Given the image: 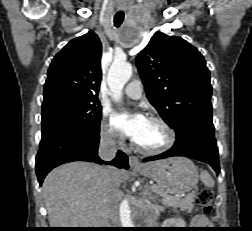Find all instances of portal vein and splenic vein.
<instances>
[{
	"label": "portal vein and splenic vein",
	"instance_id": "portal-vein-and-splenic-vein-1",
	"mask_svg": "<svg viewBox=\"0 0 252 231\" xmlns=\"http://www.w3.org/2000/svg\"><path fill=\"white\" fill-rule=\"evenodd\" d=\"M151 190H154V187H153V186L151 187ZM165 197H166L167 199H174V198H180V195H174V196L166 195Z\"/></svg>",
	"mask_w": 252,
	"mask_h": 231
}]
</instances>
